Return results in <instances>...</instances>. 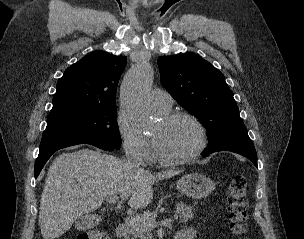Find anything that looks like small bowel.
<instances>
[{"label": "small bowel", "instance_id": "obj_1", "mask_svg": "<svg viewBox=\"0 0 304 239\" xmlns=\"http://www.w3.org/2000/svg\"><path fill=\"white\" fill-rule=\"evenodd\" d=\"M183 239H194L195 238V230L192 228H187L178 233Z\"/></svg>", "mask_w": 304, "mask_h": 239}]
</instances>
